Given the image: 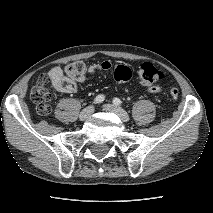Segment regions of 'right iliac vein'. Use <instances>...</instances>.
I'll use <instances>...</instances> for the list:
<instances>
[{
  "label": "right iliac vein",
  "mask_w": 213,
  "mask_h": 213,
  "mask_svg": "<svg viewBox=\"0 0 213 213\" xmlns=\"http://www.w3.org/2000/svg\"><path fill=\"white\" fill-rule=\"evenodd\" d=\"M94 111V108L92 106L86 107L83 109L79 114L80 120H86Z\"/></svg>",
  "instance_id": "obj_1"
}]
</instances>
